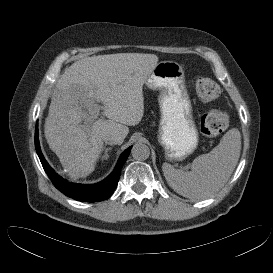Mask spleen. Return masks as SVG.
I'll return each instance as SVG.
<instances>
[{
	"mask_svg": "<svg viewBox=\"0 0 273 273\" xmlns=\"http://www.w3.org/2000/svg\"><path fill=\"white\" fill-rule=\"evenodd\" d=\"M241 151L238 129L227 131L220 143L209 153L194 159L191 171L162 166L168 185L179 195L192 200L205 199L218 192L233 173Z\"/></svg>",
	"mask_w": 273,
	"mask_h": 273,
	"instance_id": "3e777b00",
	"label": "spleen"
}]
</instances>
